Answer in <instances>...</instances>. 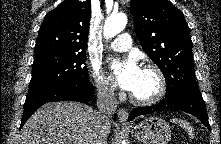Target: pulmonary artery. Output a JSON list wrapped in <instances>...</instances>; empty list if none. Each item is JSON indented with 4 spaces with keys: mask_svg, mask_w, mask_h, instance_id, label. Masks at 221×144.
<instances>
[{
    "mask_svg": "<svg viewBox=\"0 0 221 144\" xmlns=\"http://www.w3.org/2000/svg\"><path fill=\"white\" fill-rule=\"evenodd\" d=\"M132 41L128 33H122L111 44L110 48L117 52H125L131 48Z\"/></svg>",
    "mask_w": 221,
    "mask_h": 144,
    "instance_id": "1",
    "label": "pulmonary artery"
}]
</instances>
